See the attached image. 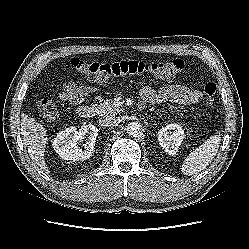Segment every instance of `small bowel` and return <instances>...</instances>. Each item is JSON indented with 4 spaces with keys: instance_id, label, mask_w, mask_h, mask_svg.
Returning a JSON list of instances; mask_svg holds the SVG:
<instances>
[{
    "instance_id": "small-bowel-1",
    "label": "small bowel",
    "mask_w": 249,
    "mask_h": 249,
    "mask_svg": "<svg viewBox=\"0 0 249 249\" xmlns=\"http://www.w3.org/2000/svg\"><path fill=\"white\" fill-rule=\"evenodd\" d=\"M95 88L70 81L63 85L59 98L71 105L82 103L86 96L94 92ZM143 100L152 103H172L178 105L196 104L202 98V93L181 84H170L158 90L145 86L140 90Z\"/></svg>"
}]
</instances>
